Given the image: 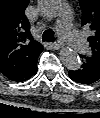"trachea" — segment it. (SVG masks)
I'll use <instances>...</instances> for the list:
<instances>
[{
    "mask_svg": "<svg viewBox=\"0 0 100 118\" xmlns=\"http://www.w3.org/2000/svg\"><path fill=\"white\" fill-rule=\"evenodd\" d=\"M42 39L44 42H54V32L52 29H47L44 31L42 35Z\"/></svg>",
    "mask_w": 100,
    "mask_h": 118,
    "instance_id": "3493384b",
    "label": "trachea"
}]
</instances>
